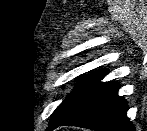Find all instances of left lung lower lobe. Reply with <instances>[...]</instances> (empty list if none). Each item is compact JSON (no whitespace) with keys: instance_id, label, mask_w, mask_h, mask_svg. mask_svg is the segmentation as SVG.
Instances as JSON below:
<instances>
[{"instance_id":"obj_1","label":"left lung lower lobe","mask_w":147,"mask_h":131,"mask_svg":"<svg viewBox=\"0 0 147 131\" xmlns=\"http://www.w3.org/2000/svg\"><path fill=\"white\" fill-rule=\"evenodd\" d=\"M118 88L119 83H104L76 113L50 131L61 125L96 131H135L126 115L128 105L125 99L118 96Z\"/></svg>"}]
</instances>
